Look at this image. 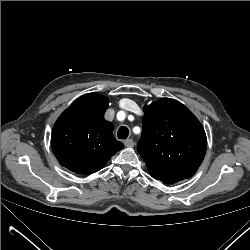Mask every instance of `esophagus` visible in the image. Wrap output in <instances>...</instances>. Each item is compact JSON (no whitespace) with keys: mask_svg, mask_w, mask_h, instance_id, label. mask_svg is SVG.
I'll use <instances>...</instances> for the list:
<instances>
[{"mask_svg":"<svg viewBox=\"0 0 250 250\" xmlns=\"http://www.w3.org/2000/svg\"><path fill=\"white\" fill-rule=\"evenodd\" d=\"M124 145L126 147H133L134 146V142H133L132 139H127V140L124 141Z\"/></svg>","mask_w":250,"mask_h":250,"instance_id":"1","label":"esophagus"}]
</instances>
